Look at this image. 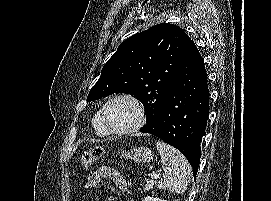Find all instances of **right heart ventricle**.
I'll return each mask as SVG.
<instances>
[{"instance_id":"1","label":"right heart ventricle","mask_w":271,"mask_h":201,"mask_svg":"<svg viewBox=\"0 0 271 201\" xmlns=\"http://www.w3.org/2000/svg\"><path fill=\"white\" fill-rule=\"evenodd\" d=\"M92 127L96 135L105 137L110 133L105 129L100 118V110H98L92 118Z\"/></svg>"}]
</instances>
